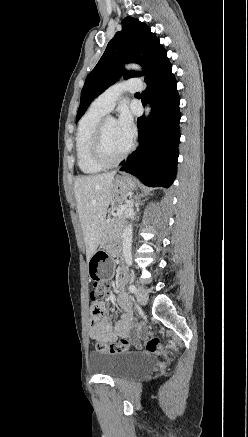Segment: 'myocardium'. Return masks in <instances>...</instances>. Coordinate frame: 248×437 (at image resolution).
<instances>
[{"label": "myocardium", "instance_id": "f54148a6", "mask_svg": "<svg viewBox=\"0 0 248 437\" xmlns=\"http://www.w3.org/2000/svg\"><path fill=\"white\" fill-rule=\"evenodd\" d=\"M109 119L110 118H103L99 122L94 134L92 147H91L93 159L97 164H99L103 168H110L117 165L123 159H125L134 148L133 141H130L128 147L118 157L114 159H110L107 157L104 151V132H105L106 123Z\"/></svg>", "mask_w": 248, "mask_h": 437}]
</instances>
